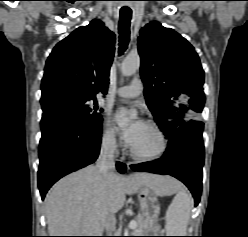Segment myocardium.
Wrapping results in <instances>:
<instances>
[{
    "label": "myocardium",
    "mask_w": 248,
    "mask_h": 237,
    "mask_svg": "<svg viewBox=\"0 0 248 237\" xmlns=\"http://www.w3.org/2000/svg\"><path fill=\"white\" fill-rule=\"evenodd\" d=\"M145 125L147 127H149L150 129H152L155 132V134L157 135L158 140H159V148L153 153L142 154V153H139L136 150H134L132 147H130V154L133 158H135L137 160L147 162V161L156 160L165 154V152L167 151V148H168V140L166 138L165 133L163 132V130L161 129V127L158 124H156L152 121H148V122H146Z\"/></svg>",
    "instance_id": "f54148a6"
}]
</instances>
